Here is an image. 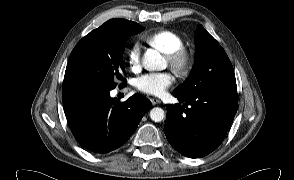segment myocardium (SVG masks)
<instances>
[{
    "label": "myocardium",
    "mask_w": 294,
    "mask_h": 180,
    "mask_svg": "<svg viewBox=\"0 0 294 180\" xmlns=\"http://www.w3.org/2000/svg\"><path fill=\"white\" fill-rule=\"evenodd\" d=\"M168 60L171 67L178 74L187 72L192 63V58L189 52L184 49L178 50L172 54H168Z\"/></svg>",
    "instance_id": "1"
}]
</instances>
